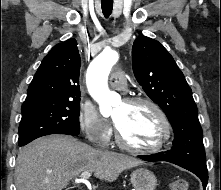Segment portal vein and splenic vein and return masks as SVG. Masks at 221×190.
<instances>
[{
  "label": "portal vein and splenic vein",
  "instance_id": "1",
  "mask_svg": "<svg viewBox=\"0 0 221 190\" xmlns=\"http://www.w3.org/2000/svg\"><path fill=\"white\" fill-rule=\"evenodd\" d=\"M90 176H91L90 172H83L80 176V181L86 182Z\"/></svg>",
  "mask_w": 221,
  "mask_h": 190
}]
</instances>
